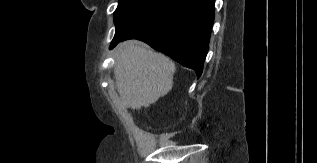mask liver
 <instances>
[{"label": "liver", "instance_id": "6515ba94", "mask_svg": "<svg viewBox=\"0 0 317 163\" xmlns=\"http://www.w3.org/2000/svg\"><path fill=\"white\" fill-rule=\"evenodd\" d=\"M175 64L165 55L128 40L116 49L114 78L123 104L140 109L154 104L173 86Z\"/></svg>", "mask_w": 317, "mask_h": 163}]
</instances>
